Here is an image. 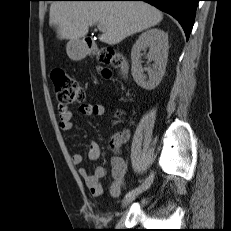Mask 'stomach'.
I'll return each mask as SVG.
<instances>
[{"mask_svg": "<svg viewBox=\"0 0 231 231\" xmlns=\"http://www.w3.org/2000/svg\"><path fill=\"white\" fill-rule=\"evenodd\" d=\"M66 51L68 56L73 60H80L86 53L85 47L79 40L69 41L66 47Z\"/></svg>", "mask_w": 231, "mask_h": 231, "instance_id": "stomach-1", "label": "stomach"}]
</instances>
